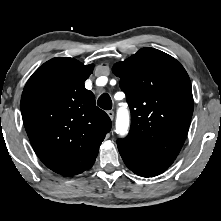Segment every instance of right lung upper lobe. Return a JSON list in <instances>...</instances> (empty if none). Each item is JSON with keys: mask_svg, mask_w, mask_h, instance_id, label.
I'll return each mask as SVG.
<instances>
[{"mask_svg": "<svg viewBox=\"0 0 221 221\" xmlns=\"http://www.w3.org/2000/svg\"><path fill=\"white\" fill-rule=\"evenodd\" d=\"M93 68L73 58H53L33 73L22 93V118L32 147L63 176L91 168L111 129L109 116L84 87Z\"/></svg>", "mask_w": 221, "mask_h": 221, "instance_id": "right-lung-upper-lobe-1", "label": "right lung upper lobe"}]
</instances>
